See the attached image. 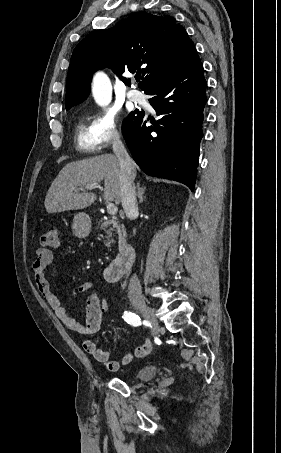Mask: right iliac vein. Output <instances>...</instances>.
I'll list each match as a JSON object with an SVG mask.
<instances>
[{"label": "right iliac vein", "mask_w": 281, "mask_h": 453, "mask_svg": "<svg viewBox=\"0 0 281 453\" xmlns=\"http://www.w3.org/2000/svg\"><path fill=\"white\" fill-rule=\"evenodd\" d=\"M134 307L137 310H141L143 317L147 318V320L152 324L153 333L155 334L157 331L160 330V325L156 319L155 312L153 308H148V304L144 301H134Z\"/></svg>", "instance_id": "obj_1"}]
</instances>
